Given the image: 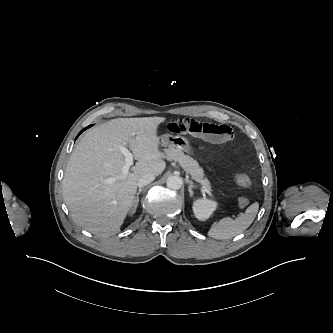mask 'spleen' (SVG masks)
<instances>
[{
    "label": "spleen",
    "instance_id": "obj_1",
    "mask_svg": "<svg viewBox=\"0 0 333 333\" xmlns=\"http://www.w3.org/2000/svg\"><path fill=\"white\" fill-rule=\"evenodd\" d=\"M259 209L257 202L250 205L244 214L236 219L225 217L217 222H214L209 231L208 236L215 239H228L246 230L254 221Z\"/></svg>",
    "mask_w": 333,
    "mask_h": 333
}]
</instances>
